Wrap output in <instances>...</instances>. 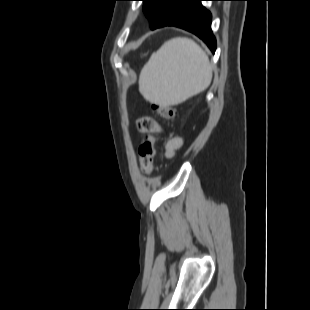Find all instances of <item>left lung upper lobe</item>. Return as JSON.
<instances>
[{
  "label": "left lung upper lobe",
  "mask_w": 310,
  "mask_h": 310,
  "mask_svg": "<svg viewBox=\"0 0 310 310\" xmlns=\"http://www.w3.org/2000/svg\"><path fill=\"white\" fill-rule=\"evenodd\" d=\"M152 30L170 24L189 0H142Z\"/></svg>",
  "instance_id": "5c2ea615"
}]
</instances>
